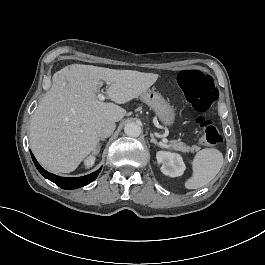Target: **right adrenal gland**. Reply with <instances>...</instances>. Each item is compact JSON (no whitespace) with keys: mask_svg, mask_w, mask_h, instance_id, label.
<instances>
[{"mask_svg":"<svg viewBox=\"0 0 265 265\" xmlns=\"http://www.w3.org/2000/svg\"><path fill=\"white\" fill-rule=\"evenodd\" d=\"M99 140L105 141V138L103 137V138H100ZM100 148H101V145H100V143H98V144H97V147H96L95 150L93 151V154H94V155H97V154L99 153V151H100Z\"/></svg>","mask_w":265,"mask_h":265,"instance_id":"obj_1","label":"right adrenal gland"}]
</instances>
